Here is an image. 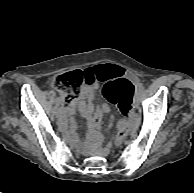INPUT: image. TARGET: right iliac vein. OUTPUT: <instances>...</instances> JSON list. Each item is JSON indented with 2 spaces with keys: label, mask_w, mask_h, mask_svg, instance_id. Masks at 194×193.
I'll return each mask as SVG.
<instances>
[{
  "label": "right iliac vein",
  "mask_w": 194,
  "mask_h": 193,
  "mask_svg": "<svg viewBox=\"0 0 194 193\" xmlns=\"http://www.w3.org/2000/svg\"><path fill=\"white\" fill-rule=\"evenodd\" d=\"M57 117L60 119L61 118L60 114H57Z\"/></svg>",
  "instance_id": "obj_1"
}]
</instances>
